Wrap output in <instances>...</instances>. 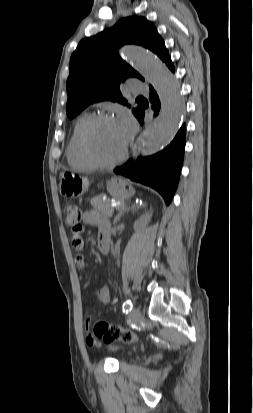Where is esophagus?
Here are the masks:
<instances>
[{"instance_id":"obj_1","label":"esophagus","mask_w":253,"mask_h":413,"mask_svg":"<svg viewBox=\"0 0 253 413\" xmlns=\"http://www.w3.org/2000/svg\"><path fill=\"white\" fill-rule=\"evenodd\" d=\"M140 138H141V136L139 137V139H140ZM139 139H138V141H137V143H136V145H135V147H134V149H133V156H134V157L137 156V154H138V152H139V149H140Z\"/></svg>"}]
</instances>
